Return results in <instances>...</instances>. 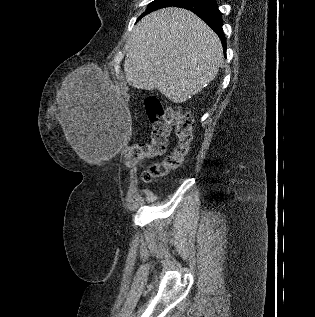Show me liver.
<instances>
[{"label":"liver","mask_w":315,"mask_h":317,"mask_svg":"<svg viewBox=\"0 0 315 317\" xmlns=\"http://www.w3.org/2000/svg\"><path fill=\"white\" fill-rule=\"evenodd\" d=\"M222 57L221 41L205 22L188 10L168 7L134 27L124 71L130 86L157 88L172 102L182 103L216 77ZM59 109L67 141L85 158L82 117L68 86L62 89Z\"/></svg>","instance_id":"1"}]
</instances>
